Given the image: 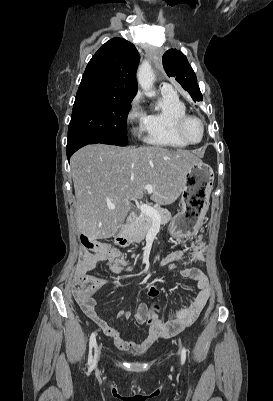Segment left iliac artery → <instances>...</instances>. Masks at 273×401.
<instances>
[{"mask_svg":"<svg viewBox=\"0 0 273 401\" xmlns=\"http://www.w3.org/2000/svg\"><path fill=\"white\" fill-rule=\"evenodd\" d=\"M185 360H186V349L185 347H183L181 351V363L184 364Z\"/></svg>","mask_w":273,"mask_h":401,"instance_id":"obj_1","label":"left iliac artery"}]
</instances>
